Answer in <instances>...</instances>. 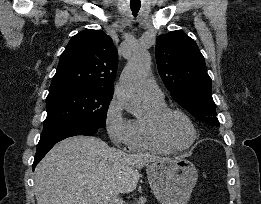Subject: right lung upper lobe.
Masks as SVG:
<instances>
[{
    "instance_id": "1",
    "label": "right lung upper lobe",
    "mask_w": 261,
    "mask_h": 204,
    "mask_svg": "<svg viewBox=\"0 0 261 204\" xmlns=\"http://www.w3.org/2000/svg\"><path fill=\"white\" fill-rule=\"evenodd\" d=\"M118 56L112 39L101 30H84L61 54L49 94L75 89L114 91Z\"/></svg>"
}]
</instances>
